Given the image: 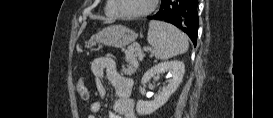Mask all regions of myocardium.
<instances>
[{"label":"myocardium","mask_w":273,"mask_h":118,"mask_svg":"<svg viewBox=\"0 0 273 118\" xmlns=\"http://www.w3.org/2000/svg\"><path fill=\"white\" fill-rule=\"evenodd\" d=\"M157 2H158V0H152L150 6L142 12L128 13L123 9L121 0H114L115 7L119 11L120 15H122L123 17L128 18V19H136V18H141V17H145V16L149 15L150 13H152L155 10Z\"/></svg>","instance_id":"1"}]
</instances>
